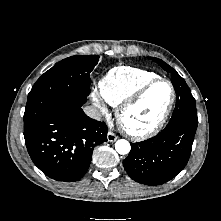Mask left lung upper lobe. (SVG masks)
<instances>
[{
  "mask_svg": "<svg viewBox=\"0 0 221 221\" xmlns=\"http://www.w3.org/2000/svg\"><path fill=\"white\" fill-rule=\"evenodd\" d=\"M153 61L157 62L165 71L171 74L172 84L175 88V91H180L188 97L190 100V107L185 108L184 110L173 111L172 117L169 123H177V122H184L190 125L197 126L198 125V118H197V111H196V104L195 99L192 96L186 82L184 79L168 64L158 58H152Z\"/></svg>",
  "mask_w": 221,
  "mask_h": 221,
  "instance_id": "5c2ea615",
  "label": "left lung upper lobe"
}]
</instances>
